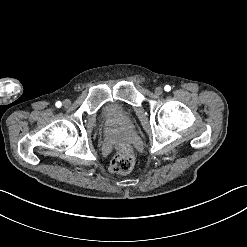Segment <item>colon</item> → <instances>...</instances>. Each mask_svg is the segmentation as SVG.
Wrapping results in <instances>:
<instances>
[{
    "label": "colon",
    "mask_w": 247,
    "mask_h": 247,
    "mask_svg": "<svg viewBox=\"0 0 247 247\" xmlns=\"http://www.w3.org/2000/svg\"><path fill=\"white\" fill-rule=\"evenodd\" d=\"M136 163V156L128 144L119 146L118 154L110 164V171L115 174L128 173Z\"/></svg>",
    "instance_id": "5ec220e1"
}]
</instances>
